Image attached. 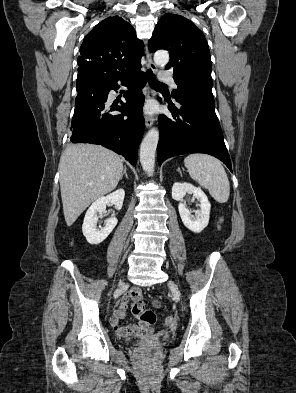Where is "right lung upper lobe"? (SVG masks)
<instances>
[{
	"label": "right lung upper lobe",
	"mask_w": 296,
	"mask_h": 393,
	"mask_svg": "<svg viewBox=\"0 0 296 393\" xmlns=\"http://www.w3.org/2000/svg\"><path fill=\"white\" fill-rule=\"evenodd\" d=\"M143 42L134 28L118 16L108 17L84 38L78 57L79 69L116 78L141 69Z\"/></svg>",
	"instance_id": "cb5924a9"
}]
</instances>
